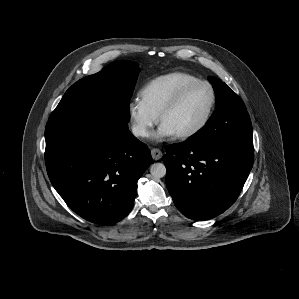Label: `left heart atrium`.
I'll list each match as a JSON object with an SVG mask.
<instances>
[{
	"label": "left heart atrium",
	"mask_w": 299,
	"mask_h": 299,
	"mask_svg": "<svg viewBox=\"0 0 299 299\" xmlns=\"http://www.w3.org/2000/svg\"><path fill=\"white\" fill-rule=\"evenodd\" d=\"M173 136H175V133L164 124H161L154 134V138L158 141H162Z\"/></svg>",
	"instance_id": "39dd6f15"
}]
</instances>
